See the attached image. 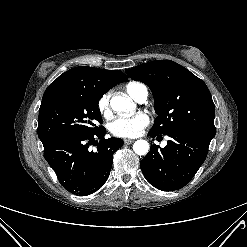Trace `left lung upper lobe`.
<instances>
[{
    "label": "left lung upper lobe",
    "instance_id": "left-lung-upper-lobe-1",
    "mask_svg": "<svg viewBox=\"0 0 247 247\" xmlns=\"http://www.w3.org/2000/svg\"><path fill=\"white\" fill-rule=\"evenodd\" d=\"M134 80L144 82L154 96L156 114L150 132L167 135L175 130L215 136V107L206 84L183 66L158 60L125 70Z\"/></svg>",
    "mask_w": 247,
    "mask_h": 247
}]
</instances>
